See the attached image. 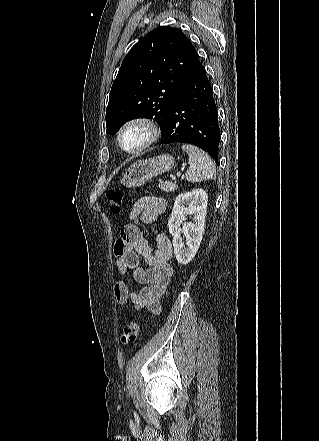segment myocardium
Returning a JSON list of instances; mask_svg holds the SVG:
<instances>
[{"label":"myocardium","instance_id":"f54148a6","mask_svg":"<svg viewBox=\"0 0 319 441\" xmlns=\"http://www.w3.org/2000/svg\"><path fill=\"white\" fill-rule=\"evenodd\" d=\"M134 128L141 129L144 133V138L139 145L133 148H128L124 145L123 138L126 132ZM159 136L160 127L158 123L152 118L140 116L131 118L123 123L117 132L116 139L119 148L123 152L128 154H137L153 145L158 140Z\"/></svg>","mask_w":319,"mask_h":441}]
</instances>
